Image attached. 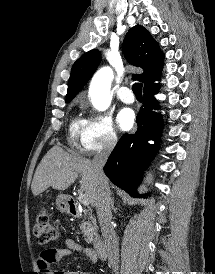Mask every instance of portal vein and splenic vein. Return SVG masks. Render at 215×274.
Wrapping results in <instances>:
<instances>
[{
	"label": "portal vein and splenic vein",
	"instance_id": "1",
	"mask_svg": "<svg viewBox=\"0 0 215 274\" xmlns=\"http://www.w3.org/2000/svg\"><path fill=\"white\" fill-rule=\"evenodd\" d=\"M79 201H80L83 205H85V206H88V205H89V199H88V197H87L85 194H83V193H80V194H79Z\"/></svg>",
	"mask_w": 215,
	"mask_h": 274
}]
</instances>
